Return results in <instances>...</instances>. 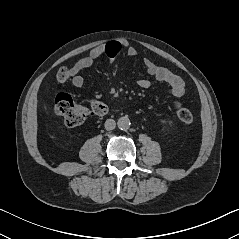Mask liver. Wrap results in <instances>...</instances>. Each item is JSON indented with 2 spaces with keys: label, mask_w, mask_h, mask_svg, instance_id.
Returning a JSON list of instances; mask_svg holds the SVG:
<instances>
[{
  "label": "liver",
  "mask_w": 239,
  "mask_h": 239,
  "mask_svg": "<svg viewBox=\"0 0 239 239\" xmlns=\"http://www.w3.org/2000/svg\"><path fill=\"white\" fill-rule=\"evenodd\" d=\"M43 108H44V111H45V112H47V110H48V107H47V105H46V104H43Z\"/></svg>",
  "instance_id": "liver-1"
}]
</instances>
